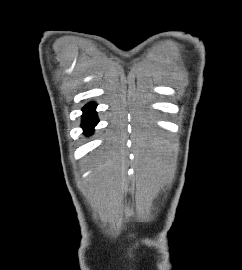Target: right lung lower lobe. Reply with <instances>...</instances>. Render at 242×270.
<instances>
[{
	"label": "right lung lower lobe",
	"instance_id": "98d812e1",
	"mask_svg": "<svg viewBox=\"0 0 242 270\" xmlns=\"http://www.w3.org/2000/svg\"><path fill=\"white\" fill-rule=\"evenodd\" d=\"M95 107L96 104L90 103L83 108L84 113L82 119V127L84 128V132L86 134L92 133L94 126L98 123Z\"/></svg>",
	"mask_w": 242,
	"mask_h": 270
}]
</instances>
